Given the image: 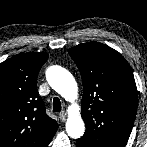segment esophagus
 <instances>
[{
    "mask_svg": "<svg viewBox=\"0 0 147 147\" xmlns=\"http://www.w3.org/2000/svg\"><path fill=\"white\" fill-rule=\"evenodd\" d=\"M66 117H67V114L66 112L62 111L60 114H59V118L61 121H65L66 120Z\"/></svg>",
    "mask_w": 147,
    "mask_h": 147,
    "instance_id": "1",
    "label": "esophagus"
}]
</instances>
